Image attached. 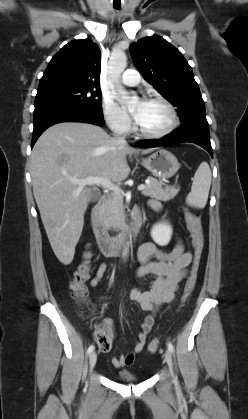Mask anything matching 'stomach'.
<instances>
[{
	"mask_svg": "<svg viewBox=\"0 0 248 419\" xmlns=\"http://www.w3.org/2000/svg\"><path fill=\"white\" fill-rule=\"evenodd\" d=\"M149 172L158 178H171L179 169L177 158L169 151L160 149L141 160Z\"/></svg>",
	"mask_w": 248,
	"mask_h": 419,
	"instance_id": "1",
	"label": "stomach"
}]
</instances>
